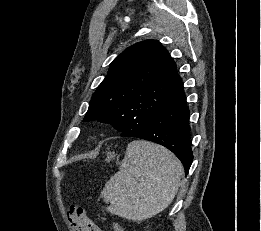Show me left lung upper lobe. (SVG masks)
<instances>
[{
    "mask_svg": "<svg viewBox=\"0 0 261 231\" xmlns=\"http://www.w3.org/2000/svg\"><path fill=\"white\" fill-rule=\"evenodd\" d=\"M182 92V80L168 51L156 40L142 41L110 64L84 121L111 123L121 133L141 132Z\"/></svg>",
    "mask_w": 261,
    "mask_h": 231,
    "instance_id": "1",
    "label": "left lung upper lobe"
}]
</instances>
